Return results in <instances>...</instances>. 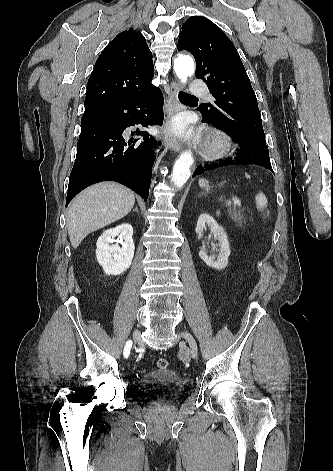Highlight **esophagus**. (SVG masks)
<instances>
[{
    "instance_id": "1",
    "label": "esophagus",
    "mask_w": 333,
    "mask_h": 471,
    "mask_svg": "<svg viewBox=\"0 0 333 471\" xmlns=\"http://www.w3.org/2000/svg\"><path fill=\"white\" fill-rule=\"evenodd\" d=\"M182 90L180 83L172 81L170 85V94H169V105H168V124L167 132L165 134V145L169 147L174 152H180L182 150L181 142L172 135L170 128V119L172 116L180 109V104L178 101V94Z\"/></svg>"
}]
</instances>
